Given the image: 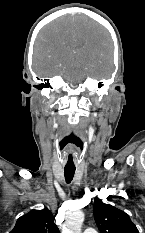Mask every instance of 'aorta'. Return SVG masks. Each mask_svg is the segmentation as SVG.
<instances>
[{"label": "aorta", "instance_id": "aorta-1", "mask_svg": "<svg viewBox=\"0 0 145 233\" xmlns=\"http://www.w3.org/2000/svg\"><path fill=\"white\" fill-rule=\"evenodd\" d=\"M82 211L74 212L66 221L63 227V233H81V226L84 221Z\"/></svg>", "mask_w": 145, "mask_h": 233}]
</instances>
